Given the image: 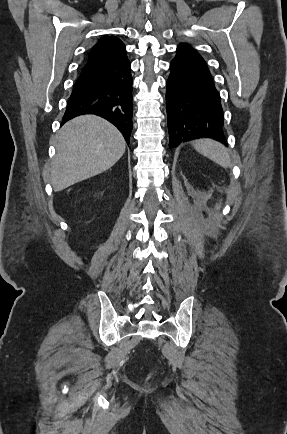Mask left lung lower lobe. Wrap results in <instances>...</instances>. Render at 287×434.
Masks as SVG:
<instances>
[{"label": "left lung lower lobe", "instance_id": "left-lung-lower-lobe-1", "mask_svg": "<svg viewBox=\"0 0 287 434\" xmlns=\"http://www.w3.org/2000/svg\"><path fill=\"white\" fill-rule=\"evenodd\" d=\"M170 70L166 92L169 147L202 137L227 145L220 95L204 59L177 53Z\"/></svg>", "mask_w": 287, "mask_h": 434}]
</instances>
